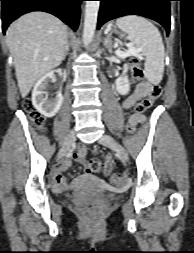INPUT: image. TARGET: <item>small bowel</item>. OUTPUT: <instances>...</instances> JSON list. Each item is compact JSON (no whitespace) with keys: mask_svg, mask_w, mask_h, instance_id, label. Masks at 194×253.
<instances>
[{"mask_svg":"<svg viewBox=\"0 0 194 253\" xmlns=\"http://www.w3.org/2000/svg\"><path fill=\"white\" fill-rule=\"evenodd\" d=\"M152 88L153 85L148 81L138 83L135 87L134 92L123 100L122 102L123 108L124 109L132 108L138 101L146 98L152 91ZM144 121L145 117L143 114L141 115L133 114L128 119V122L133 126L143 123ZM70 165L71 161L66 160L56 170L52 172L51 179L56 190L62 191L66 188V178L63 173L70 167ZM111 170H112V162L109 158H107L103 172L105 175H108L110 174Z\"/></svg>","mask_w":194,"mask_h":253,"instance_id":"small-bowel-1","label":"small bowel"}]
</instances>
